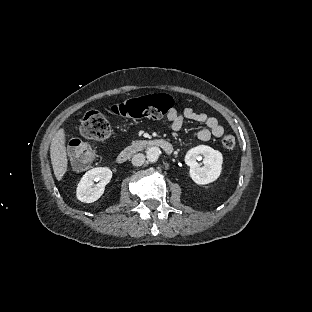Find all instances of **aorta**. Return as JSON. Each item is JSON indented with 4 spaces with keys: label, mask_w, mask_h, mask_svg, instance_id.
<instances>
[{
    "label": "aorta",
    "mask_w": 312,
    "mask_h": 312,
    "mask_svg": "<svg viewBox=\"0 0 312 312\" xmlns=\"http://www.w3.org/2000/svg\"><path fill=\"white\" fill-rule=\"evenodd\" d=\"M159 154H160V151L157 147H151L148 151H147V160L154 164L158 161L159 159Z\"/></svg>",
    "instance_id": "obj_1"
}]
</instances>
